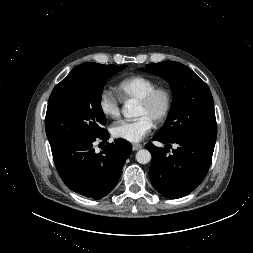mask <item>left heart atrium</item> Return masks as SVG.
<instances>
[{
    "instance_id": "39dd6f15",
    "label": "left heart atrium",
    "mask_w": 253,
    "mask_h": 253,
    "mask_svg": "<svg viewBox=\"0 0 253 253\" xmlns=\"http://www.w3.org/2000/svg\"><path fill=\"white\" fill-rule=\"evenodd\" d=\"M154 128V121L141 116L131 121H119L112 125L110 131L113 137L128 142H139L145 138Z\"/></svg>"
}]
</instances>
